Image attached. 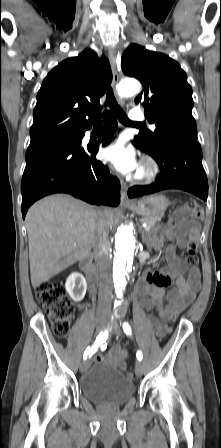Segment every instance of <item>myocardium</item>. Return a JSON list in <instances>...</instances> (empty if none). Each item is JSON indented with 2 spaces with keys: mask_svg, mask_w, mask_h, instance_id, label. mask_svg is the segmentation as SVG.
<instances>
[{
  "mask_svg": "<svg viewBox=\"0 0 221 448\" xmlns=\"http://www.w3.org/2000/svg\"><path fill=\"white\" fill-rule=\"evenodd\" d=\"M160 173V167L157 161L151 156L143 159L142 166L135 179L141 183H150L154 181Z\"/></svg>",
  "mask_w": 221,
  "mask_h": 448,
  "instance_id": "myocardium-1",
  "label": "myocardium"
}]
</instances>
